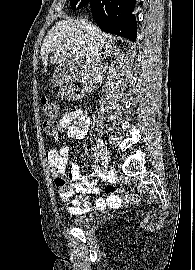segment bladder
<instances>
[{
  "label": "bladder",
  "instance_id": "31cf9c89",
  "mask_svg": "<svg viewBox=\"0 0 195 270\" xmlns=\"http://www.w3.org/2000/svg\"><path fill=\"white\" fill-rule=\"evenodd\" d=\"M94 221H95V214L93 212H87L75 217L72 220V224L77 227L85 228L91 226L94 223Z\"/></svg>",
  "mask_w": 195,
  "mask_h": 270
}]
</instances>
